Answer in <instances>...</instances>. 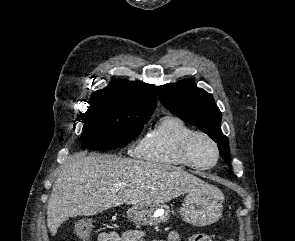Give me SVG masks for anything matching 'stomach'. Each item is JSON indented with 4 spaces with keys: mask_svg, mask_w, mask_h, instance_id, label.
Masks as SVG:
<instances>
[{
    "mask_svg": "<svg viewBox=\"0 0 295 241\" xmlns=\"http://www.w3.org/2000/svg\"><path fill=\"white\" fill-rule=\"evenodd\" d=\"M223 193L215 186L192 191L185 197L180 214L182 219L194 226H206L215 223L222 215ZM128 218L140 225L153 226L165 222L170 209L164 204L133 205L127 210Z\"/></svg>",
    "mask_w": 295,
    "mask_h": 241,
    "instance_id": "0dacf381",
    "label": "stomach"
}]
</instances>
